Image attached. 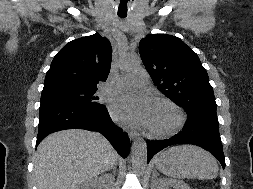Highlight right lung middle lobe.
Wrapping results in <instances>:
<instances>
[{"label": "right lung middle lobe", "mask_w": 253, "mask_h": 189, "mask_svg": "<svg viewBox=\"0 0 253 189\" xmlns=\"http://www.w3.org/2000/svg\"><path fill=\"white\" fill-rule=\"evenodd\" d=\"M97 88H76V87H60L43 90L40 103H70L83 105L92 108H103L105 105L97 102L98 97L93 94Z\"/></svg>", "instance_id": "1"}]
</instances>
